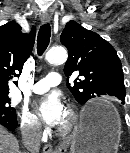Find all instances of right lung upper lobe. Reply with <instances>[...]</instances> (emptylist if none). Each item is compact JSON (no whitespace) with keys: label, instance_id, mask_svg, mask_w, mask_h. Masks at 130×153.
Masks as SVG:
<instances>
[{"label":"right lung upper lobe","instance_id":"1","mask_svg":"<svg viewBox=\"0 0 130 153\" xmlns=\"http://www.w3.org/2000/svg\"><path fill=\"white\" fill-rule=\"evenodd\" d=\"M34 41V27L27 34L21 32V26L16 22L0 26V92H8V81L22 72Z\"/></svg>","mask_w":130,"mask_h":153}]
</instances>
